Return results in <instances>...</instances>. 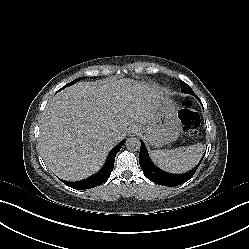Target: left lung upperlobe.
Instances as JSON below:
<instances>
[{"mask_svg": "<svg viewBox=\"0 0 249 249\" xmlns=\"http://www.w3.org/2000/svg\"><path fill=\"white\" fill-rule=\"evenodd\" d=\"M180 84H181V90L185 93H189V94H192L193 91L192 89L187 85L185 84L184 82L180 81ZM181 180V179H180Z\"/></svg>", "mask_w": 249, "mask_h": 249, "instance_id": "obj_1", "label": "left lung upper lobe"}]
</instances>
